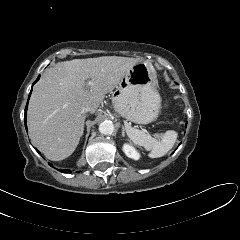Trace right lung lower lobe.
<instances>
[{"instance_id":"1","label":"right lung lower lobe","mask_w":240,"mask_h":240,"mask_svg":"<svg viewBox=\"0 0 240 240\" xmlns=\"http://www.w3.org/2000/svg\"><path fill=\"white\" fill-rule=\"evenodd\" d=\"M39 77H40V76H39ZM39 77L37 78V80H36L35 82L38 81ZM31 91H32V90H31ZM30 95H31V92H30ZM30 95H29V97H30ZM28 101H29V98H28ZM26 113H27V105H26V108H25V116H24L25 126H26ZM26 128H27V126H26ZM38 153H39V151H38ZM50 166H52V164H50ZM60 171H61V172H64V173H71L70 170L60 169Z\"/></svg>"}]
</instances>
